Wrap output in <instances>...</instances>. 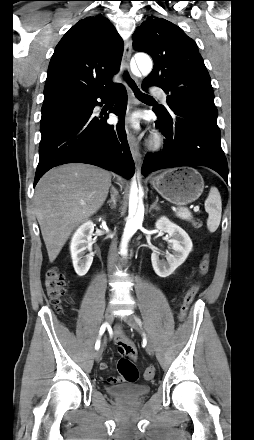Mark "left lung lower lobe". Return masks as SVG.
Listing matches in <instances>:
<instances>
[{
	"instance_id": "1",
	"label": "left lung lower lobe",
	"mask_w": 254,
	"mask_h": 440,
	"mask_svg": "<svg viewBox=\"0 0 254 440\" xmlns=\"http://www.w3.org/2000/svg\"><path fill=\"white\" fill-rule=\"evenodd\" d=\"M149 86L142 83L144 90ZM168 106V114L154 109L159 119L156 126L166 140L162 151L145 156L143 175L163 168L206 166L227 182L228 166L220 144L217 114L180 102Z\"/></svg>"
}]
</instances>
